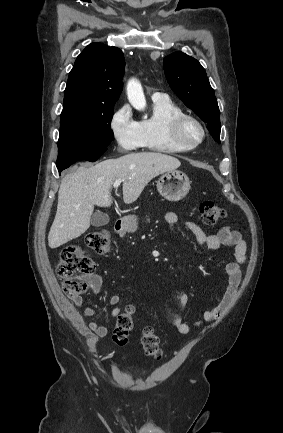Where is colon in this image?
<instances>
[{
  "instance_id": "1",
  "label": "colon",
  "mask_w": 283,
  "mask_h": 433,
  "mask_svg": "<svg viewBox=\"0 0 283 433\" xmlns=\"http://www.w3.org/2000/svg\"><path fill=\"white\" fill-rule=\"evenodd\" d=\"M199 211L206 226H213L226 216L222 207L209 200L200 204ZM85 246L97 254H107L110 250V235L105 230L91 231L85 236ZM94 270V261L82 247L71 245L61 251L57 274L63 280V290L68 297L80 296L87 291L88 279ZM133 312V307L128 306L117 318L112 339L118 346H124L128 341L133 328ZM140 343L147 355L155 359L161 358L159 337L153 328L143 329Z\"/></svg>"
}]
</instances>
